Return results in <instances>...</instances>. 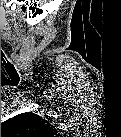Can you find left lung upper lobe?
Instances as JSON below:
<instances>
[{
  "label": "left lung upper lobe",
  "instance_id": "obj_1",
  "mask_svg": "<svg viewBox=\"0 0 121 137\" xmlns=\"http://www.w3.org/2000/svg\"><path fill=\"white\" fill-rule=\"evenodd\" d=\"M54 127L46 119L34 113H22L1 123L3 136H48L53 134Z\"/></svg>",
  "mask_w": 121,
  "mask_h": 137
}]
</instances>
